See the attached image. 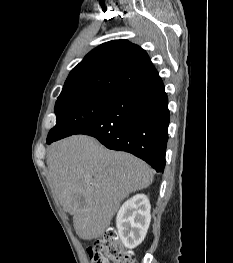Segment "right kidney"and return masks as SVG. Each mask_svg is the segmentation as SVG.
I'll list each match as a JSON object with an SVG mask.
<instances>
[{"instance_id": "1", "label": "right kidney", "mask_w": 233, "mask_h": 263, "mask_svg": "<svg viewBox=\"0 0 233 263\" xmlns=\"http://www.w3.org/2000/svg\"><path fill=\"white\" fill-rule=\"evenodd\" d=\"M151 205L145 194H137L124 202L116 217V226L123 245L134 249L144 240L150 225Z\"/></svg>"}]
</instances>
